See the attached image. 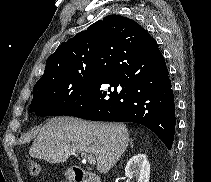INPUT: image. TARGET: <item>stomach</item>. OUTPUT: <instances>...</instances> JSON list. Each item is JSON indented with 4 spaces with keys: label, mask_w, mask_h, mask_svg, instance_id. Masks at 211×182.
<instances>
[{
    "label": "stomach",
    "mask_w": 211,
    "mask_h": 182,
    "mask_svg": "<svg viewBox=\"0 0 211 182\" xmlns=\"http://www.w3.org/2000/svg\"><path fill=\"white\" fill-rule=\"evenodd\" d=\"M66 176H68V177H72V174H71V173H69V172H67V173H66Z\"/></svg>",
    "instance_id": "0dacf381"
}]
</instances>
